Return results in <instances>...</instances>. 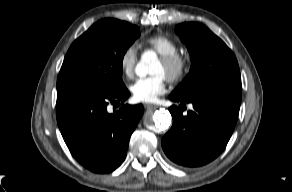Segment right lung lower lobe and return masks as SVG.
Listing matches in <instances>:
<instances>
[{
	"label": "right lung lower lobe",
	"mask_w": 292,
	"mask_h": 192,
	"mask_svg": "<svg viewBox=\"0 0 292 192\" xmlns=\"http://www.w3.org/2000/svg\"><path fill=\"white\" fill-rule=\"evenodd\" d=\"M126 87L107 92L81 83L57 85L56 114L63 139L74 158L95 173H108L124 161L129 139L143 106L124 105ZM122 104L109 113L108 105Z\"/></svg>",
	"instance_id": "right-lung-lower-lobe-1"
}]
</instances>
